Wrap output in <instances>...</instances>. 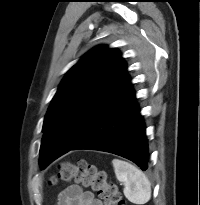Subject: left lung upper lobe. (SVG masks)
Returning a JSON list of instances; mask_svg holds the SVG:
<instances>
[{"mask_svg":"<svg viewBox=\"0 0 200 205\" xmlns=\"http://www.w3.org/2000/svg\"><path fill=\"white\" fill-rule=\"evenodd\" d=\"M127 77L115 49L98 46L63 78L44 119L40 168L73 149L114 100Z\"/></svg>","mask_w":200,"mask_h":205,"instance_id":"obj_1","label":"left lung upper lobe"}]
</instances>
